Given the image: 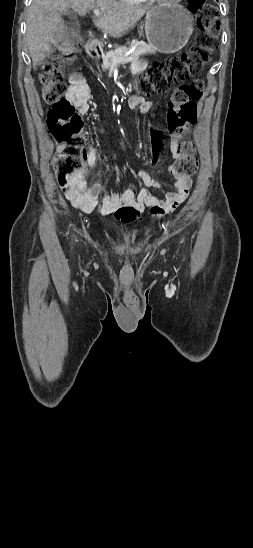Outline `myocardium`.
Instances as JSON below:
<instances>
[{"label": "myocardium", "mask_w": 253, "mask_h": 548, "mask_svg": "<svg viewBox=\"0 0 253 548\" xmlns=\"http://www.w3.org/2000/svg\"><path fill=\"white\" fill-rule=\"evenodd\" d=\"M151 1H156V2H169V1H173V0H151Z\"/></svg>", "instance_id": "1"}]
</instances>
